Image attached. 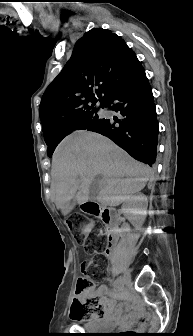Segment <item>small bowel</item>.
Instances as JSON below:
<instances>
[{"instance_id":"obj_1","label":"small bowel","mask_w":193,"mask_h":336,"mask_svg":"<svg viewBox=\"0 0 193 336\" xmlns=\"http://www.w3.org/2000/svg\"><path fill=\"white\" fill-rule=\"evenodd\" d=\"M87 295H96L101 299L103 306V314L96 315L95 319L102 318L108 325H129L133 322L143 324L145 318L140 314L132 315L130 317L123 315V308L130 309L132 307L131 297L125 295L121 299V306H117V301L110 294L109 289L105 285H99L90 290ZM123 307V308H122Z\"/></svg>"}]
</instances>
